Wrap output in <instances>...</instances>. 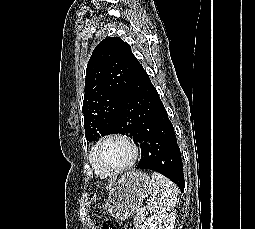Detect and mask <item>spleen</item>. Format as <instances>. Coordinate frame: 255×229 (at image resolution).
<instances>
[{
  "mask_svg": "<svg viewBox=\"0 0 255 229\" xmlns=\"http://www.w3.org/2000/svg\"><path fill=\"white\" fill-rule=\"evenodd\" d=\"M153 195L147 204V209L153 213H161L174 208L177 202V188L164 175L153 172Z\"/></svg>",
  "mask_w": 255,
  "mask_h": 229,
  "instance_id": "1",
  "label": "spleen"
}]
</instances>
